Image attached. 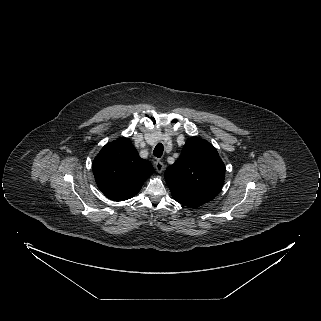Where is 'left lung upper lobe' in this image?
<instances>
[{
	"mask_svg": "<svg viewBox=\"0 0 321 321\" xmlns=\"http://www.w3.org/2000/svg\"><path fill=\"white\" fill-rule=\"evenodd\" d=\"M225 166L217 150L198 137L189 138L179 159L165 171L172 196L180 204L196 208L221 190Z\"/></svg>",
	"mask_w": 321,
	"mask_h": 321,
	"instance_id": "obj_1",
	"label": "left lung upper lobe"
}]
</instances>
